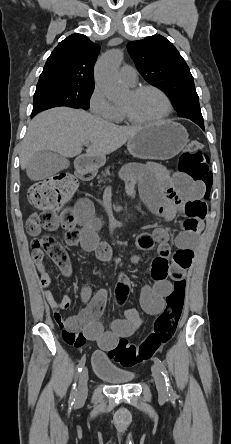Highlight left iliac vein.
Instances as JSON below:
<instances>
[{
  "label": "left iliac vein",
  "instance_id": "obj_1",
  "mask_svg": "<svg viewBox=\"0 0 231 444\" xmlns=\"http://www.w3.org/2000/svg\"><path fill=\"white\" fill-rule=\"evenodd\" d=\"M152 375L155 380L156 388L158 390V393L161 397L166 396V386L164 382V377L161 373V370L156 364H153L151 367Z\"/></svg>",
  "mask_w": 231,
  "mask_h": 444
}]
</instances>
